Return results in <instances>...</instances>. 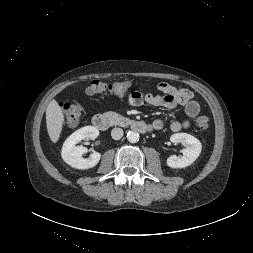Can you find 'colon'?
<instances>
[{
	"label": "colon",
	"mask_w": 253,
	"mask_h": 253,
	"mask_svg": "<svg viewBox=\"0 0 253 253\" xmlns=\"http://www.w3.org/2000/svg\"><path fill=\"white\" fill-rule=\"evenodd\" d=\"M130 85L131 83L126 80L106 82L95 79L90 82L86 92L90 95L109 92L121 96L128 91ZM60 106L63 111L64 123L68 126L76 125L82 115V106L77 103H61ZM195 123L198 128L206 129L210 124V118L207 114H200L196 117Z\"/></svg>",
	"instance_id": "colon-1"
}]
</instances>
